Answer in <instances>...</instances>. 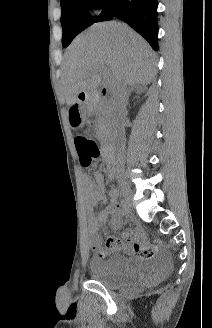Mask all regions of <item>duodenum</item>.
Wrapping results in <instances>:
<instances>
[{
    "instance_id": "duodenum-1",
    "label": "duodenum",
    "mask_w": 212,
    "mask_h": 328,
    "mask_svg": "<svg viewBox=\"0 0 212 328\" xmlns=\"http://www.w3.org/2000/svg\"><path fill=\"white\" fill-rule=\"evenodd\" d=\"M113 97V94L111 90L104 86L102 87L101 91L97 96L90 94V93H85L84 95L79 97V103L81 105L88 104L92 101H94L97 98H111ZM112 154H113V146L111 144H106L102 150V155L103 157L107 160L108 162V171L109 173L113 172L114 166L112 163Z\"/></svg>"
}]
</instances>
